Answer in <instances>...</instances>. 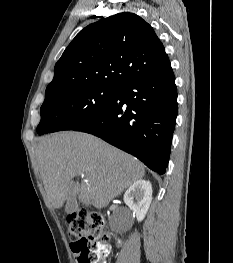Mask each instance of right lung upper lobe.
<instances>
[{"mask_svg":"<svg viewBox=\"0 0 233 263\" xmlns=\"http://www.w3.org/2000/svg\"><path fill=\"white\" fill-rule=\"evenodd\" d=\"M170 67L153 28L136 14L119 13L76 35L55 65L45 98L88 86L118 88Z\"/></svg>","mask_w":233,"mask_h":263,"instance_id":"cb5924a9","label":"right lung upper lobe"}]
</instances>
